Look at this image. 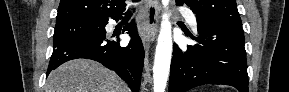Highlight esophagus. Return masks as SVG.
<instances>
[{"instance_id":"esophagus-1","label":"esophagus","mask_w":289,"mask_h":92,"mask_svg":"<svg viewBox=\"0 0 289 92\" xmlns=\"http://www.w3.org/2000/svg\"><path fill=\"white\" fill-rule=\"evenodd\" d=\"M145 19L140 25L139 34L144 46L152 43L156 38V28L159 22V5L157 0L144 2Z\"/></svg>"}]
</instances>
